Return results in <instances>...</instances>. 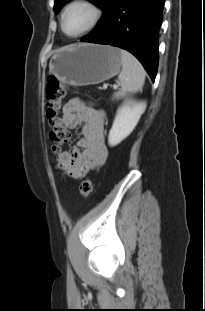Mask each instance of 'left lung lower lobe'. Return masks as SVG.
<instances>
[{
  "instance_id": "0a47b994",
  "label": "left lung lower lobe",
  "mask_w": 205,
  "mask_h": 311,
  "mask_svg": "<svg viewBox=\"0 0 205 311\" xmlns=\"http://www.w3.org/2000/svg\"><path fill=\"white\" fill-rule=\"evenodd\" d=\"M165 0H115L98 27L82 42L109 44L132 53L154 82Z\"/></svg>"
}]
</instances>
